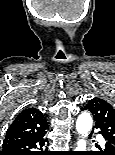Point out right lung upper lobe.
Masks as SVG:
<instances>
[{
  "mask_svg": "<svg viewBox=\"0 0 115 155\" xmlns=\"http://www.w3.org/2000/svg\"><path fill=\"white\" fill-rule=\"evenodd\" d=\"M48 121L41 111L35 108L24 109L7 130L3 147L23 142L47 133Z\"/></svg>",
  "mask_w": 115,
  "mask_h": 155,
  "instance_id": "obj_1",
  "label": "right lung upper lobe"
}]
</instances>
